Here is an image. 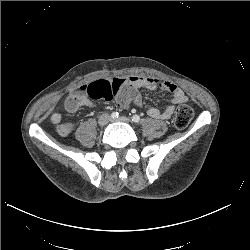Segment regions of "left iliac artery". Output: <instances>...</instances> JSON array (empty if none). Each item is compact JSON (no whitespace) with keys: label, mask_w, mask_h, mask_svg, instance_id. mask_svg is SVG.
I'll return each mask as SVG.
<instances>
[{"label":"left iliac artery","mask_w":250,"mask_h":250,"mask_svg":"<svg viewBox=\"0 0 250 250\" xmlns=\"http://www.w3.org/2000/svg\"><path fill=\"white\" fill-rule=\"evenodd\" d=\"M132 121L135 123H138L140 121V117L138 115H133L132 116Z\"/></svg>","instance_id":"44dca946"}]
</instances>
